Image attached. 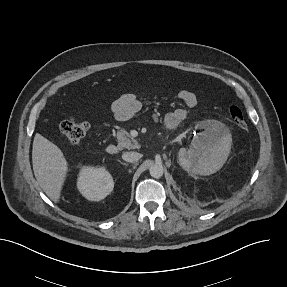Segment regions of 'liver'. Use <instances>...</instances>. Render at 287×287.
Instances as JSON below:
<instances>
[{"instance_id":"1","label":"liver","mask_w":287,"mask_h":287,"mask_svg":"<svg viewBox=\"0 0 287 287\" xmlns=\"http://www.w3.org/2000/svg\"><path fill=\"white\" fill-rule=\"evenodd\" d=\"M34 175L45 194L58 203L68 172V162L61 149L37 133L33 141Z\"/></svg>"}]
</instances>
